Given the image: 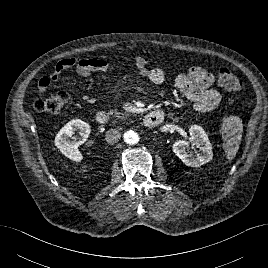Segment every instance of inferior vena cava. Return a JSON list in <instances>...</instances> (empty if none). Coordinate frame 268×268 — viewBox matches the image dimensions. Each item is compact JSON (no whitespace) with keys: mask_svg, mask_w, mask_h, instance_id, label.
I'll return each instance as SVG.
<instances>
[{"mask_svg":"<svg viewBox=\"0 0 268 268\" xmlns=\"http://www.w3.org/2000/svg\"><path fill=\"white\" fill-rule=\"evenodd\" d=\"M121 138V132L118 129H109L106 132L105 139L109 144H114Z\"/></svg>","mask_w":268,"mask_h":268,"instance_id":"602c4592","label":"inferior vena cava"}]
</instances>
